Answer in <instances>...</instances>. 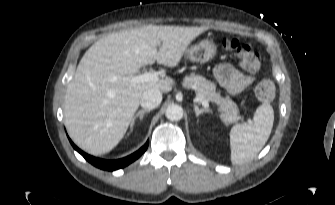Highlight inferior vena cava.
<instances>
[{"label":"inferior vena cava","instance_id":"602c4592","mask_svg":"<svg viewBox=\"0 0 335 205\" xmlns=\"http://www.w3.org/2000/svg\"><path fill=\"white\" fill-rule=\"evenodd\" d=\"M162 101V93L157 89H148L144 91L140 98V104L145 109H154Z\"/></svg>","mask_w":335,"mask_h":205}]
</instances>
